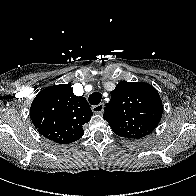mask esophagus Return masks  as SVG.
<instances>
[{
    "label": "esophagus",
    "instance_id": "esophagus-1",
    "mask_svg": "<svg viewBox=\"0 0 196 196\" xmlns=\"http://www.w3.org/2000/svg\"><path fill=\"white\" fill-rule=\"evenodd\" d=\"M103 110H104V104L103 103H99L98 105L92 106V111L95 114H101V113H103Z\"/></svg>",
    "mask_w": 196,
    "mask_h": 196
}]
</instances>
